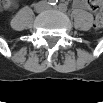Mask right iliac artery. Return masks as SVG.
<instances>
[{"label":"right iliac artery","instance_id":"right-iliac-artery-1","mask_svg":"<svg viewBox=\"0 0 103 103\" xmlns=\"http://www.w3.org/2000/svg\"><path fill=\"white\" fill-rule=\"evenodd\" d=\"M49 4L52 5V6H54V5L57 4V0H50V1H49Z\"/></svg>","mask_w":103,"mask_h":103}]
</instances>
